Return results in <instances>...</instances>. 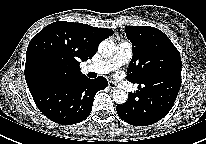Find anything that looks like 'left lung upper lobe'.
<instances>
[{"label":"left lung upper lobe","mask_w":206,"mask_h":144,"mask_svg":"<svg viewBox=\"0 0 206 144\" xmlns=\"http://www.w3.org/2000/svg\"><path fill=\"white\" fill-rule=\"evenodd\" d=\"M125 32L133 49L127 80L146 89H180L182 62L167 35L150 26H127Z\"/></svg>","instance_id":"1"}]
</instances>
